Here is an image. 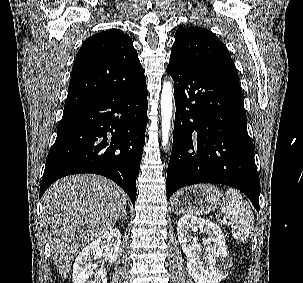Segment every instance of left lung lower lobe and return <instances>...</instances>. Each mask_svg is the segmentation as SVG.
I'll use <instances>...</instances> for the list:
<instances>
[{"mask_svg": "<svg viewBox=\"0 0 303 283\" xmlns=\"http://www.w3.org/2000/svg\"><path fill=\"white\" fill-rule=\"evenodd\" d=\"M176 115L167 200L181 187L219 183L239 189L259 212L260 181L237 71L169 62Z\"/></svg>", "mask_w": 303, "mask_h": 283, "instance_id": "obj_1", "label": "left lung lower lobe"}]
</instances>
